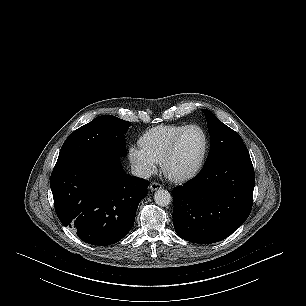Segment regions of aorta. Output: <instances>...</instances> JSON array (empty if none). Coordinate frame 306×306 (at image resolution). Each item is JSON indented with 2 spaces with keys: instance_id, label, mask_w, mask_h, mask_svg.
Returning <instances> with one entry per match:
<instances>
[{
  "instance_id": "obj_1",
  "label": "aorta",
  "mask_w": 306,
  "mask_h": 306,
  "mask_svg": "<svg viewBox=\"0 0 306 306\" xmlns=\"http://www.w3.org/2000/svg\"><path fill=\"white\" fill-rule=\"evenodd\" d=\"M154 200L159 206H167L171 202V195L167 190L159 189L154 194Z\"/></svg>"
}]
</instances>
